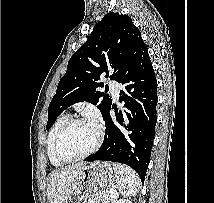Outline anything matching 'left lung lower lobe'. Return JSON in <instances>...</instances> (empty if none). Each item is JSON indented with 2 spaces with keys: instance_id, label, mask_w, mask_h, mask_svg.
<instances>
[{
  "instance_id": "0a47b994",
  "label": "left lung lower lobe",
  "mask_w": 214,
  "mask_h": 203,
  "mask_svg": "<svg viewBox=\"0 0 214 203\" xmlns=\"http://www.w3.org/2000/svg\"><path fill=\"white\" fill-rule=\"evenodd\" d=\"M120 102L125 110L113 121L109 111L103 116L106 130L100 149L85 161H113L132 167L142 183L150 161L157 122V80L147 48L139 53L124 76Z\"/></svg>"
}]
</instances>
